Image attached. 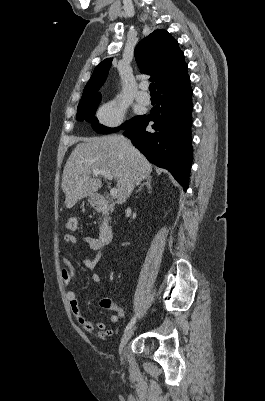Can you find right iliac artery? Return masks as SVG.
Instances as JSON below:
<instances>
[{"label":"right iliac artery","instance_id":"82829eb1","mask_svg":"<svg viewBox=\"0 0 265 401\" xmlns=\"http://www.w3.org/2000/svg\"><path fill=\"white\" fill-rule=\"evenodd\" d=\"M135 321H136V315H135L134 317H132V319L130 320V322L127 324V326H126V328H125V332H126L127 330H129V329L134 325Z\"/></svg>","mask_w":265,"mask_h":401}]
</instances>
